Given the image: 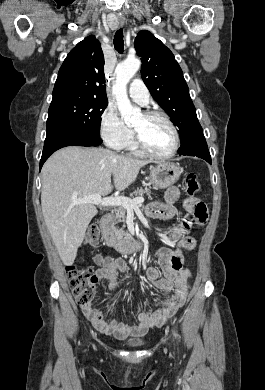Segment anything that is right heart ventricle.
Wrapping results in <instances>:
<instances>
[{
  "label": "right heart ventricle",
  "mask_w": 265,
  "mask_h": 390,
  "mask_svg": "<svg viewBox=\"0 0 265 390\" xmlns=\"http://www.w3.org/2000/svg\"><path fill=\"white\" fill-rule=\"evenodd\" d=\"M126 148L131 154L135 155V156H141L142 153L139 151L136 143H135V139H134V136L132 135V137L129 139V141L127 142L126 146L124 147Z\"/></svg>",
  "instance_id": "1"
}]
</instances>
